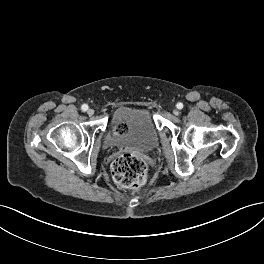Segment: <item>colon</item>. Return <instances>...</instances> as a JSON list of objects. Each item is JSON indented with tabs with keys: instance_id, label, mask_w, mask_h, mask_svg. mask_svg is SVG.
I'll list each match as a JSON object with an SVG mask.
<instances>
[{
	"instance_id": "1",
	"label": "colon",
	"mask_w": 264,
	"mask_h": 264,
	"mask_svg": "<svg viewBox=\"0 0 264 264\" xmlns=\"http://www.w3.org/2000/svg\"><path fill=\"white\" fill-rule=\"evenodd\" d=\"M111 172L114 182L122 189H138L147 180L145 161L131 153L118 156L112 163Z\"/></svg>"
}]
</instances>
